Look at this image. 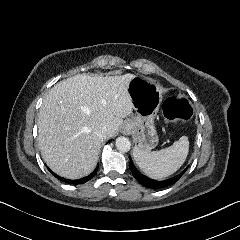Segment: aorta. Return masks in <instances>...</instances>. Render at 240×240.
Returning a JSON list of instances; mask_svg holds the SVG:
<instances>
[{
  "label": "aorta",
  "mask_w": 240,
  "mask_h": 240,
  "mask_svg": "<svg viewBox=\"0 0 240 240\" xmlns=\"http://www.w3.org/2000/svg\"><path fill=\"white\" fill-rule=\"evenodd\" d=\"M115 145L117 150L121 152H126L130 149V141L127 137L119 136L115 140Z\"/></svg>",
  "instance_id": "762f6f07"
}]
</instances>
